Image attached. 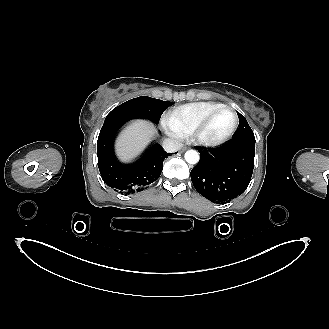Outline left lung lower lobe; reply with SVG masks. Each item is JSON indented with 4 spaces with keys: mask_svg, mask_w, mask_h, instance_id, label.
<instances>
[{
    "mask_svg": "<svg viewBox=\"0 0 329 329\" xmlns=\"http://www.w3.org/2000/svg\"><path fill=\"white\" fill-rule=\"evenodd\" d=\"M198 151L200 160L190 176L202 196L225 203L246 190L254 168L255 140H231L216 148L199 147Z\"/></svg>",
    "mask_w": 329,
    "mask_h": 329,
    "instance_id": "1",
    "label": "left lung lower lobe"
}]
</instances>
